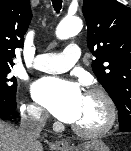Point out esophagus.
Wrapping results in <instances>:
<instances>
[{
  "label": "esophagus",
  "instance_id": "1",
  "mask_svg": "<svg viewBox=\"0 0 131 151\" xmlns=\"http://www.w3.org/2000/svg\"><path fill=\"white\" fill-rule=\"evenodd\" d=\"M56 146L62 150H67L69 148V143L65 140L56 141Z\"/></svg>",
  "mask_w": 131,
  "mask_h": 151
}]
</instances>
